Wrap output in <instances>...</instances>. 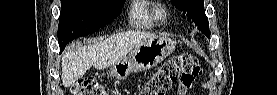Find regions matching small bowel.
<instances>
[{
  "instance_id": "small-bowel-1",
  "label": "small bowel",
  "mask_w": 277,
  "mask_h": 95,
  "mask_svg": "<svg viewBox=\"0 0 277 95\" xmlns=\"http://www.w3.org/2000/svg\"><path fill=\"white\" fill-rule=\"evenodd\" d=\"M193 87V79L182 80L177 85L178 94H187V92Z\"/></svg>"
}]
</instances>
